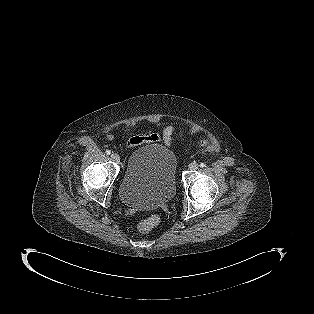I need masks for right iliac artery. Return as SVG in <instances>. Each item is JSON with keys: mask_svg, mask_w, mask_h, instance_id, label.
<instances>
[{"mask_svg": "<svg viewBox=\"0 0 314 314\" xmlns=\"http://www.w3.org/2000/svg\"><path fill=\"white\" fill-rule=\"evenodd\" d=\"M106 154H107V155H110V154H111V151H110V150H107V151H106Z\"/></svg>", "mask_w": 314, "mask_h": 314, "instance_id": "1", "label": "right iliac artery"}]
</instances>
